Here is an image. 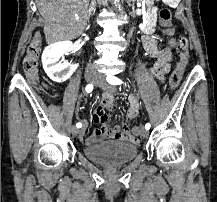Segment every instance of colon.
<instances>
[{
	"label": "colon",
	"mask_w": 217,
	"mask_h": 202,
	"mask_svg": "<svg viewBox=\"0 0 217 202\" xmlns=\"http://www.w3.org/2000/svg\"><path fill=\"white\" fill-rule=\"evenodd\" d=\"M159 18L164 32L173 36L172 44L177 55V64L170 76V87L175 89L178 87L182 75L189 63L190 41L184 35L174 36L175 29L171 23L172 13L169 8H161L159 10ZM40 34H35L30 45L27 48L26 54L23 59L24 73L31 83H36L39 79L38 74V56L40 51ZM132 132H139V127H132Z\"/></svg>",
	"instance_id": "colon-1"
}]
</instances>
